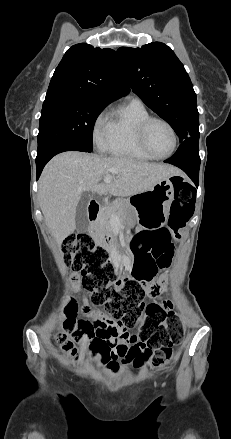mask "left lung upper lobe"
I'll list each match as a JSON object with an SVG mask.
<instances>
[{
    "instance_id": "5c2ea615",
    "label": "left lung upper lobe",
    "mask_w": 231,
    "mask_h": 439,
    "mask_svg": "<svg viewBox=\"0 0 231 439\" xmlns=\"http://www.w3.org/2000/svg\"><path fill=\"white\" fill-rule=\"evenodd\" d=\"M117 56L133 92L167 121L180 142L199 136V113L191 80L170 47L152 42L121 47Z\"/></svg>"
}]
</instances>
